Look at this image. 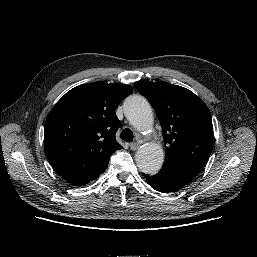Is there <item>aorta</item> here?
Returning <instances> with one entry per match:
<instances>
[{
  "mask_svg": "<svg viewBox=\"0 0 257 257\" xmlns=\"http://www.w3.org/2000/svg\"><path fill=\"white\" fill-rule=\"evenodd\" d=\"M128 121L139 131H150L153 127V113L149 102L142 96H133L124 104ZM138 168L146 174H156L163 165V149L154 143L142 145L135 155Z\"/></svg>",
  "mask_w": 257,
  "mask_h": 257,
  "instance_id": "762f6f07",
  "label": "aorta"
}]
</instances>
